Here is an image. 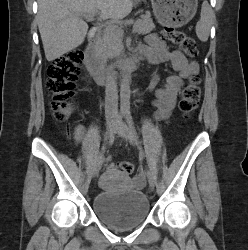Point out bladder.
Listing matches in <instances>:
<instances>
[{"label":"bladder","instance_id":"31cf9c89","mask_svg":"<svg viewBox=\"0 0 248 250\" xmlns=\"http://www.w3.org/2000/svg\"><path fill=\"white\" fill-rule=\"evenodd\" d=\"M93 210L107 225L125 230L146 220L150 213V203L141 190L103 191L95 196Z\"/></svg>","mask_w":248,"mask_h":250}]
</instances>
